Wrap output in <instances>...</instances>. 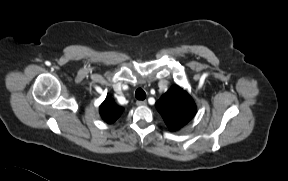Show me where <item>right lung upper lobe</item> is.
I'll list each match as a JSON object with an SVG mask.
<instances>
[{"mask_svg": "<svg viewBox=\"0 0 288 181\" xmlns=\"http://www.w3.org/2000/svg\"><path fill=\"white\" fill-rule=\"evenodd\" d=\"M122 108L118 107L114 100L106 98L105 101L100 105V114L105 122L111 124L118 119Z\"/></svg>", "mask_w": 288, "mask_h": 181, "instance_id": "cb5924a9", "label": "right lung upper lobe"}]
</instances>
